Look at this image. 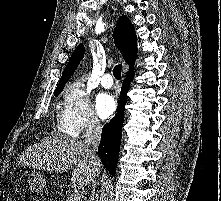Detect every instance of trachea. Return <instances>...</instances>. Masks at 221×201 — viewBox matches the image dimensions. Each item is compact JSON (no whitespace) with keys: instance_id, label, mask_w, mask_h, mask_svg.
I'll return each instance as SVG.
<instances>
[{"instance_id":"trachea-1","label":"trachea","mask_w":221,"mask_h":201,"mask_svg":"<svg viewBox=\"0 0 221 201\" xmlns=\"http://www.w3.org/2000/svg\"><path fill=\"white\" fill-rule=\"evenodd\" d=\"M121 70H122L121 64L116 65L113 69V75L117 80L121 79Z\"/></svg>"}]
</instances>
